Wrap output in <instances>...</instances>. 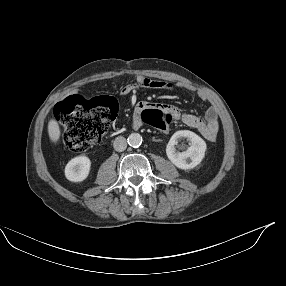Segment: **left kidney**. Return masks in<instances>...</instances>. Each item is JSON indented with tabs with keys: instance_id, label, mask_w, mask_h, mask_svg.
Returning a JSON list of instances; mask_svg holds the SVG:
<instances>
[{
	"instance_id": "5707ae66",
	"label": "left kidney",
	"mask_w": 286,
	"mask_h": 286,
	"mask_svg": "<svg viewBox=\"0 0 286 286\" xmlns=\"http://www.w3.org/2000/svg\"><path fill=\"white\" fill-rule=\"evenodd\" d=\"M182 138L189 140L190 147L183 152H178L175 145ZM206 148V143L200 136L189 130H180L175 132L170 138L166 147V154L177 168L188 170L195 168L201 163L205 156Z\"/></svg>"
}]
</instances>
